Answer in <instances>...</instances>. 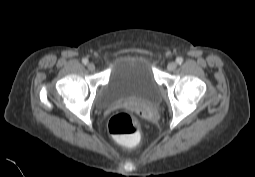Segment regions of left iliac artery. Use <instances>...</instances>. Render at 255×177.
Listing matches in <instances>:
<instances>
[{
	"label": "left iliac artery",
	"instance_id": "left-iliac-artery-1",
	"mask_svg": "<svg viewBox=\"0 0 255 177\" xmlns=\"http://www.w3.org/2000/svg\"><path fill=\"white\" fill-rule=\"evenodd\" d=\"M176 62H177V64H182L183 58H182V57H178V58L176 59Z\"/></svg>",
	"mask_w": 255,
	"mask_h": 177
}]
</instances>
